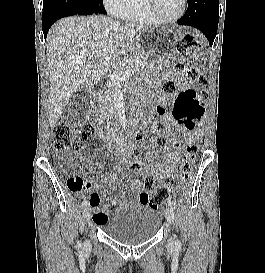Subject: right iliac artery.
I'll return each instance as SVG.
<instances>
[{
  "mask_svg": "<svg viewBox=\"0 0 265 273\" xmlns=\"http://www.w3.org/2000/svg\"><path fill=\"white\" fill-rule=\"evenodd\" d=\"M88 205V201L84 200L81 204V206L84 208ZM78 247H81V243L78 242Z\"/></svg>",
  "mask_w": 265,
  "mask_h": 273,
  "instance_id": "right-iliac-artery-1",
  "label": "right iliac artery"
}]
</instances>
